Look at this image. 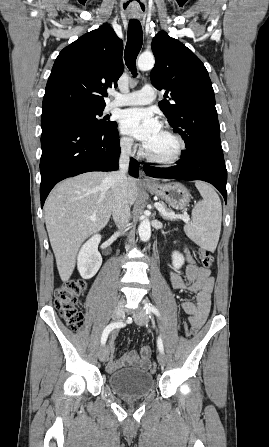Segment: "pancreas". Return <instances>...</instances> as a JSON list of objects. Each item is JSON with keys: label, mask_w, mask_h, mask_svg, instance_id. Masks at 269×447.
<instances>
[{"label": "pancreas", "mask_w": 269, "mask_h": 447, "mask_svg": "<svg viewBox=\"0 0 269 447\" xmlns=\"http://www.w3.org/2000/svg\"><path fill=\"white\" fill-rule=\"evenodd\" d=\"M159 204H162L163 208H167L166 204H164V202H159ZM162 216V214H161ZM162 218H164V220H169V218H165V216H162ZM171 222H175V220H171Z\"/></svg>", "instance_id": "1"}]
</instances>
